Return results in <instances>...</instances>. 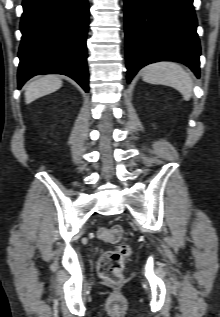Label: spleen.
<instances>
[{
	"mask_svg": "<svg viewBox=\"0 0 220 317\" xmlns=\"http://www.w3.org/2000/svg\"><path fill=\"white\" fill-rule=\"evenodd\" d=\"M142 78L147 83L163 84L177 89L185 99L193 92V82L190 74L178 63L159 61L149 64L141 70Z\"/></svg>",
	"mask_w": 220,
	"mask_h": 317,
	"instance_id": "1",
	"label": "spleen"
}]
</instances>
